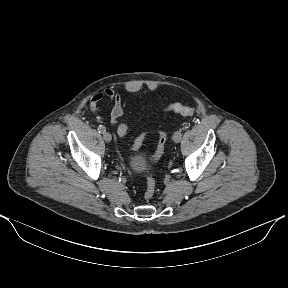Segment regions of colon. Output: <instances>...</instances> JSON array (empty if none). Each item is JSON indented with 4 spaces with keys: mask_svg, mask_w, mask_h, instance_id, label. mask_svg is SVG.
Returning a JSON list of instances; mask_svg holds the SVG:
<instances>
[{
    "mask_svg": "<svg viewBox=\"0 0 288 288\" xmlns=\"http://www.w3.org/2000/svg\"><path fill=\"white\" fill-rule=\"evenodd\" d=\"M165 110L166 111H173V112L178 113V114L183 115V116H191L195 113L194 107L182 105L180 103L171 104ZM127 129H128L127 124L123 123L118 130L119 133L121 134V137L126 135ZM145 137H146V133H142L141 135H139L134 140V142L131 146L132 149L133 150L138 149L142 145L143 141L145 140ZM165 144H166V134L162 131H159L156 150L150 158L151 161H157L158 159H160V157L162 156V154L164 152ZM155 190H156L155 179L152 176L148 175L147 180H146L145 193H144L145 199H147V200L151 199L155 194Z\"/></svg>",
    "mask_w": 288,
    "mask_h": 288,
    "instance_id": "5ec220e1",
    "label": "colon"
}]
</instances>
